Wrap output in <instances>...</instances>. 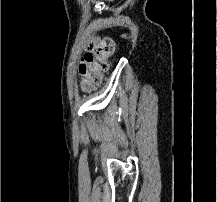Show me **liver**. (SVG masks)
<instances>
[{"label":"liver","mask_w":217,"mask_h":202,"mask_svg":"<svg viewBox=\"0 0 217 202\" xmlns=\"http://www.w3.org/2000/svg\"><path fill=\"white\" fill-rule=\"evenodd\" d=\"M108 2H113V0H108Z\"/></svg>","instance_id":"liver-1"}]
</instances>
